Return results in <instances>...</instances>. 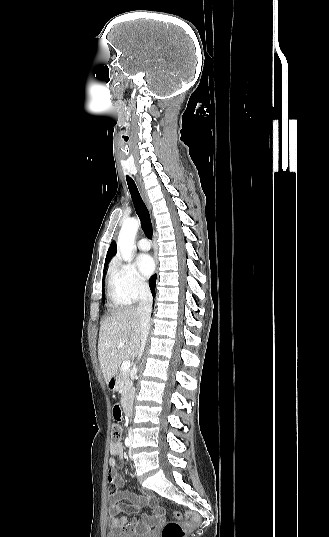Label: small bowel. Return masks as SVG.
Instances as JSON below:
<instances>
[{
    "label": "small bowel",
    "mask_w": 329,
    "mask_h": 537,
    "mask_svg": "<svg viewBox=\"0 0 329 537\" xmlns=\"http://www.w3.org/2000/svg\"><path fill=\"white\" fill-rule=\"evenodd\" d=\"M113 412V420L115 423L120 424L123 422L124 417L122 415L121 405L116 403ZM110 455L112 456L108 461V497H109V526L115 531H122L124 533H146L152 528L159 526L163 521V509L160 507L155 498L144 491L142 495L133 494L130 492H124L120 490H114L113 487L119 488L124 486L125 480L119 474V464L116 458L123 459V446L121 442L110 444ZM123 501H127L125 503ZM143 505H149L152 508L151 514L142 515L141 519H135L128 521L125 515L137 514L139 509Z\"/></svg>",
    "instance_id": "obj_1"
}]
</instances>
